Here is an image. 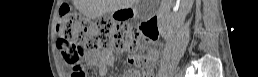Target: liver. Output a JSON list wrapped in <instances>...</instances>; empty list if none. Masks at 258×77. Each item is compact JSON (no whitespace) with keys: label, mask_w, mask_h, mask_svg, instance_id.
<instances>
[{"label":"liver","mask_w":258,"mask_h":77,"mask_svg":"<svg viewBox=\"0 0 258 77\" xmlns=\"http://www.w3.org/2000/svg\"><path fill=\"white\" fill-rule=\"evenodd\" d=\"M172 0L162 1L170 4ZM138 0H73L75 7L87 18L95 19L122 8H128Z\"/></svg>","instance_id":"liver-1"}]
</instances>
